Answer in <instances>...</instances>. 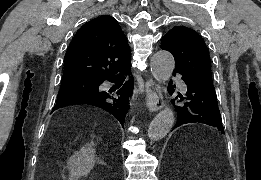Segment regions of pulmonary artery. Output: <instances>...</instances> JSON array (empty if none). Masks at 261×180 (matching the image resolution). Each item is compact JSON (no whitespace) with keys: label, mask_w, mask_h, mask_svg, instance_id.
I'll return each instance as SVG.
<instances>
[{"label":"pulmonary artery","mask_w":261,"mask_h":180,"mask_svg":"<svg viewBox=\"0 0 261 180\" xmlns=\"http://www.w3.org/2000/svg\"><path fill=\"white\" fill-rule=\"evenodd\" d=\"M168 83H179V78H168Z\"/></svg>","instance_id":"e3ab8cb5"}]
</instances>
